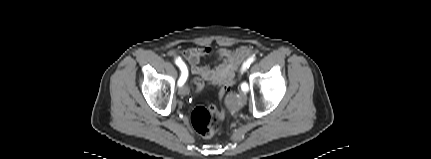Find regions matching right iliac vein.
I'll list each match as a JSON object with an SVG mask.
<instances>
[{"label":"right iliac vein","instance_id":"1","mask_svg":"<svg viewBox=\"0 0 431 159\" xmlns=\"http://www.w3.org/2000/svg\"><path fill=\"white\" fill-rule=\"evenodd\" d=\"M188 93H189V88H188L187 85H183V86L180 87L179 94L181 96H186Z\"/></svg>","mask_w":431,"mask_h":159}]
</instances>
